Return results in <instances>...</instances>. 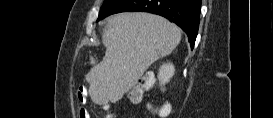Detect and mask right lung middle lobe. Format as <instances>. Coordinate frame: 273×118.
Segmentation results:
<instances>
[{"instance_id":"1","label":"right lung middle lobe","mask_w":273,"mask_h":118,"mask_svg":"<svg viewBox=\"0 0 273 118\" xmlns=\"http://www.w3.org/2000/svg\"><path fill=\"white\" fill-rule=\"evenodd\" d=\"M123 0H105L100 12L97 21L109 16L113 9Z\"/></svg>"}]
</instances>
